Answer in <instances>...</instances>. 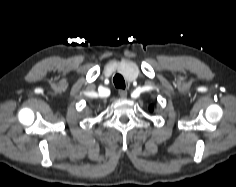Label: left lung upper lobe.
Instances as JSON below:
<instances>
[{
  "label": "left lung upper lobe",
  "instance_id": "1",
  "mask_svg": "<svg viewBox=\"0 0 236 187\" xmlns=\"http://www.w3.org/2000/svg\"><path fill=\"white\" fill-rule=\"evenodd\" d=\"M149 110H150V112L153 111V106L152 105L149 107Z\"/></svg>",
  "mask_w": 236,
  "mask_h": 187
}]
</instances>
